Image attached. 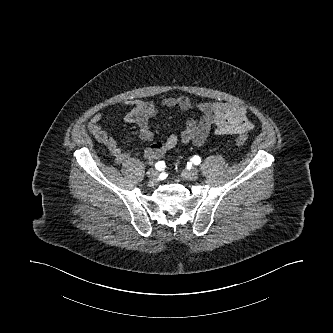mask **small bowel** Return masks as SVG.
<instances>
[{"label": "small bowel", "mask_w": 333, "mask_h": 333, "mask_svg": "<svg viewBox=\"0 0 333 333\" xmlns=\"http://www.w3.org/2000/svg\"><path fill=\"white\" fill-rule=\"evenodd\" d=\"M129 108L124 120L135 124L139 128L140 138L151 141L154 138L149 125V119L158 112L156 105L149 100L134 99L126 103ZM165 108H178L186 111L196 109L201 113L199 119H188L180 135L171 134L165 138H157L144 149V156L149 160H158L178 143L201 145L208 138L211 131L215 134L233 135L246 134L254 127L246 115V109L229 102H193L186 96L167 97L162 101ZM104 116L95 113L89 123L88 130L95 139L108 148L117 163L126 162L132 155L131 150L120 147L117 139L110 135L103 127Z\"/></svg>", "instance_id": "obj_1"}]
</instances>
